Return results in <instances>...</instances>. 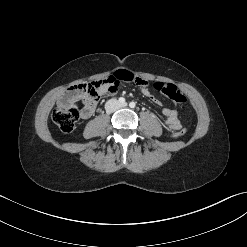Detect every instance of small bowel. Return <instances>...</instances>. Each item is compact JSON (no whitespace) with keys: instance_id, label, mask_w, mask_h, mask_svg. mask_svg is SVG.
Instances as JSON below:
<instances>
[{"instance_id":"c3829d8e","label":"small bowel","mask_w":247,"mask_h":247,"mask_svg":"<svg viewBox=\"0 0 247 247\" xmlns=\"http://www.w3.org/2000/svg\"><path fill=\"white\" fill-rule=\"evenodd\" d=\"M112 77L117 78L119 80H123V81H134V82H135V79L137 78L131 72L126 71V70H118L112 75ZM136 84L140 88L141 92L147 98L151 100H155L153 95L150 93L148 89V83L145 80L140 78V82H137ZM116 91H117V88L106 89V90L101 91L100 95L114 94ZM76 98L83 100V95L78 93L76 95ZM94 111H95V104L90 105L84 102V106L81 111V116L84 119H88L93 115ZM162 114L165 116L166 124L170 130H177L181 127L180 120L178 118V113L176 110H173L170 108H163Z\"/></svg>"}]
</instances>
